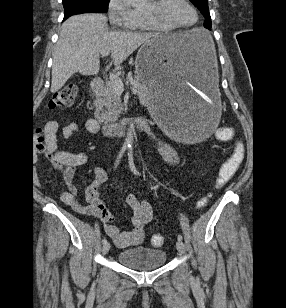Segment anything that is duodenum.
Listing matches in <instances>:
<instances>
[{"instance_id":"1","label":"duodenum","mask_w":286,"mask_h":308,"mask_svg":"<svg viewBox=\"0 0 286 308\" xmlns=\"http://www.w3.org/2000/svg\"><path fill=\"white\" fill-rule=\"evenodd\" d=\"M103 86V80L101 78H95L92 81L91 89L93 92L100 90ZM133 125L136 129H144L147 127V120L142 118L134 122L131 121H119L111 123H103L102 131L106 136L113 137L124 134L128 128Z\"/></svg>"}]
</instances>
